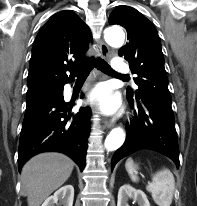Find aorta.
<instances>
[{
  "label": "aorta",
  "mask_w": 197,
  "mask_h": 206,
  "mask_svg": "<svg viewBox=\"0 0 197 206\" xmlns=\"http://www.w3.org/2000/svg\"><path fill=\"white\" fill-rule=\"evenodd\" d=\"M106 42L115 48H119L123 45L125 34L119 27H110L105 30ZM125 141V133L121 128H114L107 135L105 139V148L108 151H114L122 146Z\"/></svg>",
  "instance_id": "obj_1"
}]
</instances>
